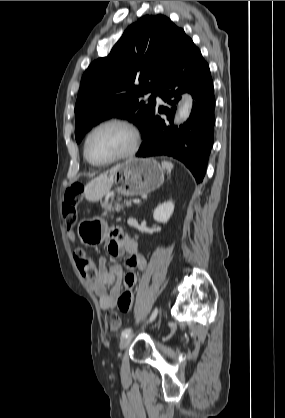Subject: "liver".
<instances>
[{
	"label": "liver",
	"mask_w": 285,
	"mask_h": 418,
	"mask_svg": "<svg viewBox=\"0 0 285 418\" xmlns=\"http://www.w3.org/2000/svg\"><path fill=\"white\" fill-rule=\"evenodd\" d=\"M118 166L113 167L109 171V175L108 173L101 174L86 184L84 195L88 201H98L110 191L114 183L113 172L117 170Z\"/></svg>",
	"instance_id": "liver-1"
}]
</instances>
